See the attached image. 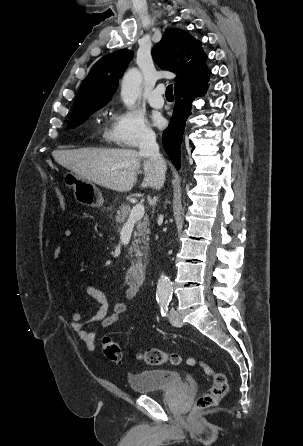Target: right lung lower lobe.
Returning <instances> with one entry per match:
<instances>
[{
  "label": "right lung lower lobe",
  "mask_w": 303,
  "mask_h": 446,
  "mask_svg": "<svg viewBox=\"0 0 303 446\" xmlns=\"http://www.w3.org/2000/svg\"><path fill=\"white\" fill-rule=\"evenodd\" d=\"M209 75L175 90V106L168 129L163 133V144L176 168H180V145L185 121L191 114V102L208 88Z\"/></svg>",
  "instance_id": "obj_1"
}]
</instances>
